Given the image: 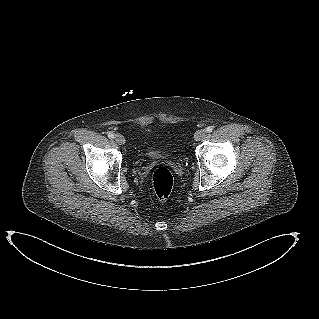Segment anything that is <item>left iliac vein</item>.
<instances>
[{"label":"left iliac vein","mask_w":319,"mask_h":319,"mask_svg":"<svg viewBox=\"0 0 319 319\" xmlns=\"http://www.w3.org/2000/svg\"><path fill=\"white\" fill-rule=\"evenodd\" d=\"M205 136V131L204 130H198L196 131V133L194 134V139L196 141H200L201 139H203Z\"/></svg>","instance_id":"left-iliac-vein-1"}]
</instances>
